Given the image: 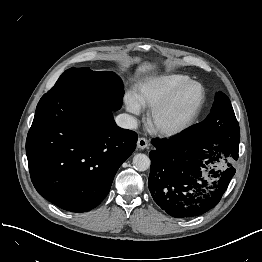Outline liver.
<instances>
[{"mask_svg": "<svg viewBox=\"0 0 262 262\" xmlns=\"http://www.w3.org/2000/svg\"><path fill=\"white\" fill-rule=\"evenodd\" d=\"M156 67V64L155 63H150V62H143L142 64H140L136 70V74L137 76L142 74V73H145V72H148V71H151L153 69H155Z\"/></svg>", "mask_w": 262, "mask_h": 262, "instance_id": "liver-1", "label": "liver"}]
</instances>
